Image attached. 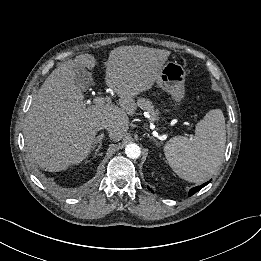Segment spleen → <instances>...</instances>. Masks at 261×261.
Returning a JSON list of instances; mask_svg holds the SVG:
<instances>
[{"instance_id": "3e777b00", "label": "spleen", "mask_w": 261, "mask_h": 261, "mask_svg": "<svg viewBox=\"0 0 261 261\" xmlns=\"http://www.w3.org/2000/svg\"><path fill=\"white\" fill-rule=\"evenodd\" d=\"M226 142L225 118L220 109L210 110L195 128L192 140L184 136L171 138L164 146L170 167L182 179L201 183L221 165Z\"/></svg>"}]
</instances>
